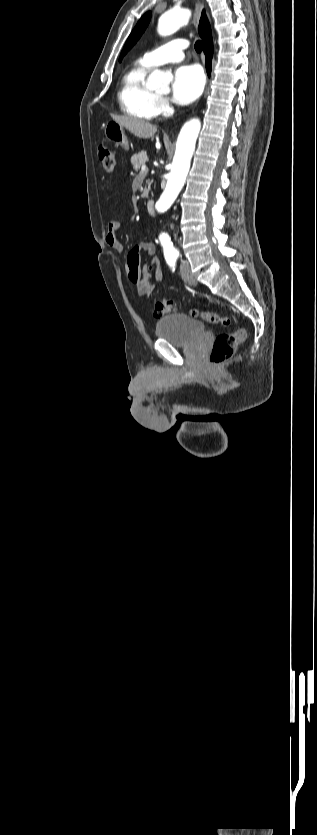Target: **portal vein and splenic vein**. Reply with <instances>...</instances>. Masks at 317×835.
<instances>
[{"instance_id": "18ae733b", "label": "portal vein and splenic vein", "mask_w": 317, "mask_h": 835, "mask_svg": "<svg viewBox=\"0 0 317 835\" xmlns=\"http://www.w3.org/2000/svg\"><path fill=\"white\" fill-rule=\"evenodd\" d=\"M141 170H142V171H147V170H148V168L146 167V165H142Z\"/></svg>"}]
</instances>
